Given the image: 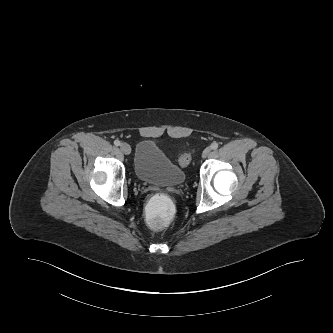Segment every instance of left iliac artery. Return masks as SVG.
<instances>
[{
    "label": "left iliac artery",
    "mask_w": 333,
    "mask_h": 333,
    "mask_svg": "<svg viewBox=\"0 0 333 333\" xmlns=\"http://www.w3.org/2000/svg\"><path fill=\"white\" fill-rule=\"evenodd\" d=\"M218 147H219V145H218V143H216V142H214V143L211 144V148H212L213 150L218 149Z\"/></svg>",
    "instance_id": "obj_1"
}]
</instances>
